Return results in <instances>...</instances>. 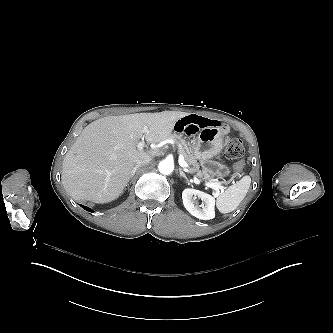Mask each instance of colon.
<instances>
[{
  "mask_svg": "<svg viewBox=\"0 0 333 333\" xmlns=\"http://www.w3.org/2000/svg\"><path fill=\"white\" fill-rule=\"evenodd\" d=\"M244 154V148L242 142L238 139H233L228 142L225 149V156L230 160L236 161V169L239 171L243 167V161L241 160Z\"/></svg>",
  "mask_w": 333,
  "mask_h": 333,
  "instance_id": "1",
  "label": "colon"
}]
</instances>
